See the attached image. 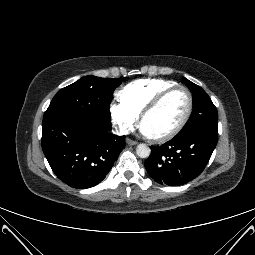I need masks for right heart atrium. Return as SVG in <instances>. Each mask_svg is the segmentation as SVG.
Returning <instances> with one entry per match:
<instances>
[{"mask_svg": "<svg viewBox=\"0 0 255 255\" xmlns=\"http://www.w3.org/2000/svg\"><path fill=\"white\" fill-rule=\"evenodd\" d=\"M109 111L113 124L123 135L130 133L139 121V114L121 99L111 102Z\"/></svg>", "mask_w": 255, "mask_h": 255, "instance_id": "obj_1", "label": "right heart atrium"}]
</instances>
